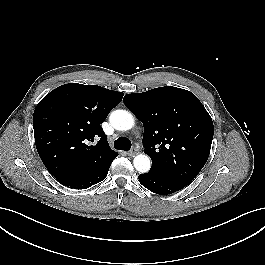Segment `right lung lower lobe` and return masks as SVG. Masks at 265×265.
I'll list each match as a JSON object with an SVG mask.
<instances>
[{"label": "right lung lower lobe", "instance_id": "obj_1", "mask_svg": "<svg viewBox=\"0 0 265 265\" xmlns=\"http://www.w3.org/2000/svg\"><path fill=\"white\" fill-rule=\"evenodd\" d=\"M111 163L108 164L107 166H105L101 170H98V171H95L92 173H88V174L75 176V177L68 178V179H65V180H62L59 182H61L65 186H67L69 188H73V189L89 188L92 185L99 183L106 178Z\"/></svg>", "mask_w": 265, "mask_h": 265}]
</instances>
